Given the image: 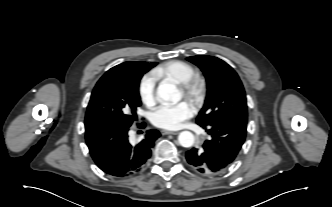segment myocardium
Wrapping results in <instances>:
<instances>
[{"label": "myocardium", "mask_w": 332, "mask_h": 207, "mask_svg": "<svg viewBox=\"0 0 332 207\" xmlns=\"http://www.w3.org/2000/svg\"><path fill=\"white\" fill-rule=\"evenodd\" d=\"M206 83L202 76L194 74L187 81L180 84L183 95L191 102L199 105L205 93Z\"/></svg>", "instance_id": "obj_1"}]
</instances>
